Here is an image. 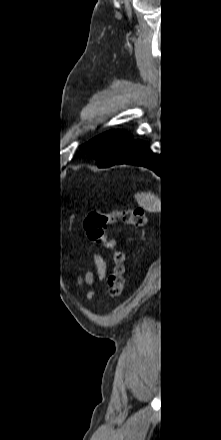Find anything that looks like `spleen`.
<instances>
[{"mask_svg":"<svg viewBox=\"0 0 221 440\" xmlns=\"http://www.w3.org/2000/svg\"><path fill=\"white\" fill-rule=\"evenodd\" d=\"M138 205L148 212L156 213L159 211V197L154 193H137L134 195Z\"/></svg>","mask_w":221,"mask_h":440,"instance_id":"1","label":"spleen"}]
</instances>
